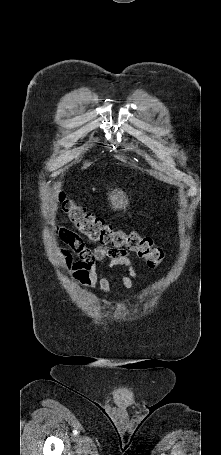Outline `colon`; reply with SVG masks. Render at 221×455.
<instances>
[{"label": "colon", "mask_w": 221, "mask_h": 455, "mask_svg": "<svg viewBox=\"0 0 221 455\" xmlns=\"http://www.w3.org/2000/svg\"><path fill=\"white\" fill-rule=\"evenodd\" d=\"M58 201L71 223L90 241L103 247L132 252L144 259L150 267H156L162 263L164 253L162 249L154 246L152 238L142 236L136 231L114 229L102 218L87 212L83 206L64 193L59 195Z\"/></svg>", "instance_id": "colon-1"}]
</instances>
